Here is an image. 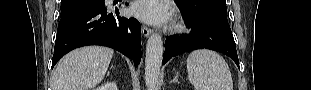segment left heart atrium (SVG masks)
<instances>
[{"instance_id": "obj_1", "label": "left heart atrium", "mask_w": 311, "mask_h": 90, "mask_svg": "<svg viewBox=\"0 0 311 90\" xmlns=\"http://www.w3.org/2000/svg\"><path fill=\"white\" fill-rule=\"evenodd\" d=\"M132 14L149 24L160 25L170 20V11L166 4L158 0H139L132 8Z\"/></svg>"}]
</instances>
